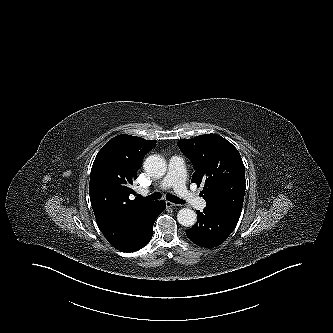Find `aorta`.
<instances>
[{"mask_svg": "<svg viewBox=\"0 0 333 333\" xmlns=\"http://www.w3.org/2000/svg\"><path fill=\"white\" fill-rule=\"evenodd\" d=\"M145 172L154 178H161L165 175L167 165L165 160L159 155H151L144 161ZM196 213L189 208H183L177 213L178 222L185 227H191L196 222Z\"/></svg>", "mask_w": 333, "mask_h": 333, "instance_id": "obj_1", "label": "aorta"}]
</instances>
